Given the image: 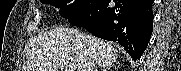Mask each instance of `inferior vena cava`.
I'll return each instance as SVG.
<instances>
[{
    "label": "inferior vena cava",
    "instance_id": "inferior-vena-cava-1",
    "mask_svg": "<svg viewBox=\"0 0 181 71\" xmlns=\"http://www.w3.org/2000/svg\"><path fill=\"white\" fill-rule=\"evenodd\" d=\"M96 68H97L96 63H93V65H92V67L89 69V71H97Z\"/></svg>",
    "mask_w": 181,
    "mask_h": 71
}]
</instances>
